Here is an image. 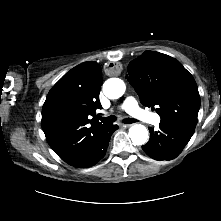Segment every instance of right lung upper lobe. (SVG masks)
<instances>
[{
    "mask_svg": "<svg viewBox=\"0 0 221 221\" xmlns=\"http://www.w3.org/2000/svg\"><path fill=\"white\" fill-rule=\"evenodd\" d=\"M102 84L97 62H84L67 72L50 90L41 125L50 147L66 160L107 124L96 120Z\"/></svg>",
    "mask_w": 221,
    "mask_h": 221,
    "instance_id": "obj_1",
    "label": "right lung upper lobe"
}]
</instances>
